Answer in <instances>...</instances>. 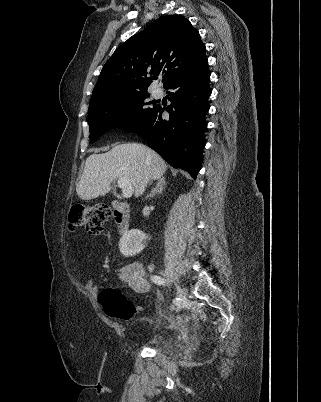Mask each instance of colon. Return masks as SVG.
Instances as JSON below:
<instances>
[{
  "label": "colon",
  "mask_w": 321,
  "mask_h": 402,
  "mask_svg": "<svg viewBox=\"0 0 321 402\" xmlns=\"http://www.w3.org/2000/svg\"><path fill=\"white\" fill-rule=\"evenodd\" d=\"M111 210L98 204H74L68 214L70 230L84 227L90 234L102 232L104 223L110 220ZM99 302L104 313L117 320L127 321L134 315V309L128 298L118 289L106 288L99 295Z\"/></svg>",
  "instance_id": "1"
}]
</instances>
